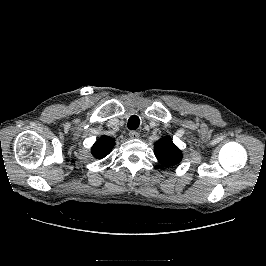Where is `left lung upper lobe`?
Listing matches in <instances>:
<instances>
[{"label":"left lung upper lobe","mask_w":266,"mask_h":266,"mask_svg":"<svg viewBox=\"0 0 266 266\" xmlns=\"http://www.w3.org/2000/svg\"><path fill=\"white\" fill-rule=\"evenodd\" d=\"M154 152L158 161L165 167L176 165L182 160L181 150L170 137L159 139L154 144Z\"/></svg>","instance_id":"5c2ea615"}]
</instances>
